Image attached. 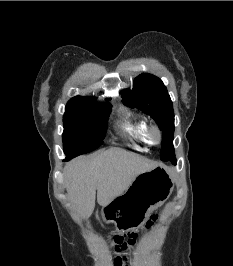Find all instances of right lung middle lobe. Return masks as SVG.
<instances>
[{"label":"right lung middle lobe","mask_w":233,"mask_h":266,"mask_svg":"<svg viewBox=\"0 0 233 266\" xmlns=\"http://www.w3.org/2000/svg\"><path fill=\"white\" fill-rule=\"evenodd\" d=\"M110 107L109 103L92 100L66 105L62 137L67 160L91 152L103 143Z\"/></svg>","instance_id":"obj_1"}]
</instances>
